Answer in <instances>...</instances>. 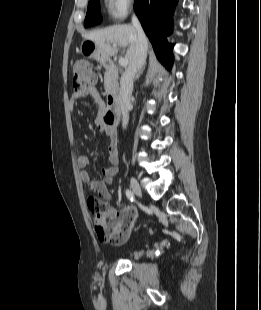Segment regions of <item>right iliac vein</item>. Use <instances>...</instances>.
Here are the masks:
<instances>
[{"instance_id":"right-iliac-vein-1","label":"right iliac vein","mask_w":261,"mask_h":310,"mask_svg":"<svg viewBox=\"0 0 261 310\" xmlns=\"http://www.w3.org/2000/svg\"><path fill=\"white\" fill-rule=\"evenodd\" d=\"M131 183V188L133 190V192L135 193V195H137L138 197H142V191H141V187L139 185V183L137 182V180L135 178H131L130 180Z\"/></svg>"}]
</instances>
